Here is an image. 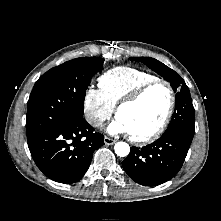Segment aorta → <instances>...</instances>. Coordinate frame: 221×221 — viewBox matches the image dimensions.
<instances>
[{
  "mask_svg": "<svg viewBox=\"0 0 221 221\" xmlns=\"http://www.w3.org/2000/svg\"><path fill=\"white\" fill-rule=\"evenodd\" d=\"M115 153L120 157H125L130 152V147L126 142H118L114 147Z\"/></svg>",
  "mask_w": 221,
  "mask_h": 221,
  "instance_id": "1",
  "label": "aorta"
}]
</instances>
